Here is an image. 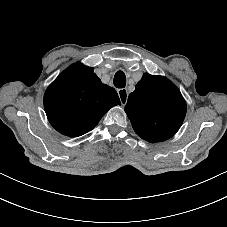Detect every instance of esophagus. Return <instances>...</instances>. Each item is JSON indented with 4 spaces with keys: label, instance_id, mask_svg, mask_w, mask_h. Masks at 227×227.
<instances>
[{
    "label": "esophagus",
    "instance_id": "esophagus-1",
    "mask_svg": "<svg viewBox=\"0 0 227 227\" xmlns=\"http://www.w3.org/2000/svg\"><path fill=\"white\" fill-rule=\"evenodd\" d=\"M122 106H125L128 100V91L125 88L117 90Z\"/></svg>",
    "mask_w": 227,
    "mask_h": 227
}]
</instances>
